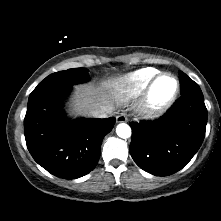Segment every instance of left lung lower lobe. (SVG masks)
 <instances>
[{"label":"left lung lower lobe","instance_id":"0a47b994","mask_svg":"<svg viewBox=\"0 0 221 221\" xmlns=\"http://www.w3.org/2000/svg\"><path fill=\"white\" fill-rule=\"evenodd\" d=\"M207 124L204 97L181 96L159 119L131 123L129 151L135 163L155 176L185 167L200 148Z\"/></svg>","mask_w":221,"mask_h":221}]
</instances>
